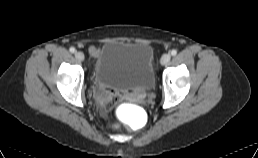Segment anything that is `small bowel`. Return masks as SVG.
<instances>
[{
	"label": "small bowel",
	"mask_w": 258,
	"mask_h": 158,
	"mask_svg": "<svg viewBox=\"0 0 258 158\" xmlns=\"http://www.w3.org/2000/svg\"><path fill=\"white\" fill-rule=\"evenodd\" d=\"M90 50H91V52H92V53H94V54H96V53H97V49H96V48H94V47H92Z\"/></svg>",
	"instance_id": "c3829d8e"
}]
</instances>
